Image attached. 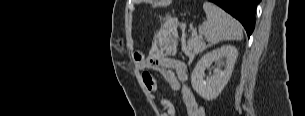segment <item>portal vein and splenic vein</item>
Wrapping results in <instances>:
<instances>
[{"label": "portal vein and splenic vein", "mask_w": 305, "mask_h": 116, "mask_svg": "<svg viewBox=\"0 0 305 116\" xmlns=\"http://www.w3.org/2000/svg\"><path fill=\"white\" fill-rule=\"evenodd\" d=\"M192 35H196V30H193V31H192Z\"/></svg>", "instance_id": "18ae733b"}]
</instances>
